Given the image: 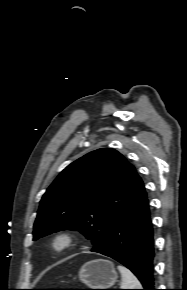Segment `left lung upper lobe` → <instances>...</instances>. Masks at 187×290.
<instances>
[{
    "instance_id": "5c2ea615",
    "label": "left lung upper lobe",
    "mask_w": 187,
    "mask_h": 290,
    "mask_svg": "<svg viewBox=\"0 0 187 290\" xmlns=\"http://www.w3.org/2000/svg\"><path fill=\"white\" fill-rule=\"evenodd\" d=\"M143 184L133 165L111 148L67 166L40 201L33 240L70 229L102 244L128 200Z\"/></svg>"
}]
</instances>
